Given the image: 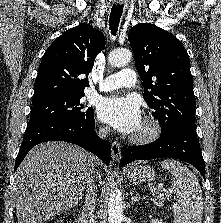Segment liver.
Here are the masks:
<instances>
[{"instance_id":"liver-1","label":"liver","mask_w":221,"mask_h":223,"mask_svg":"<svg viewBox=\"0 0 221 223\" xmlns=\"http://www.w3.org/2000/svg\"><path fill=\"white\" fill-rule=\"evenodd\" d=\"M97 159L66 142L35 146L15 174L14 199L18 223H44L74 207Z\"/></svg>"}]
</instances>
